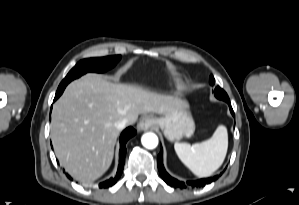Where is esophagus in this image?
<instances>
[{
    "label": "esophagus",
    "mask_w": 299,
    "mask_h": 205,
    "mask_svg": "<svg viewBox=\"0 0 299 205\" xmlns=\"http://www.w3.org/2000/svg\"><path fill=\"white\" fill-rule=\"evenodd\" d=\"M155 125H156V120L152 117L147 116V117H143L139 121V123L137 125V129L139 131H141V130L146 131V130L153 128Z\"/></svg>",
    "instance_id": "34e87169"
}]
</instances>
